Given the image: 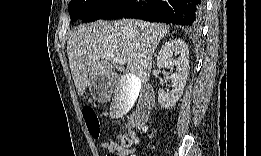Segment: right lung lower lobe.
Returning a JSON list of instances; mask_svg holds the SVG:
<instances>
[{"instance_id": "right-lung-lower-lobe-1", "label": "right lung lower lobe", "mask_w": 261, "mask_h": 156, "mask_svg": "<svg viewBox=\"0 0 261 156\" xmlns=\"http://www.w3.org/2000/svg\"><path fill=\"white\" fill-rule=\"evenodd\" d=\"M201 0H118L102 19L137 18L197 27L202 12Z\"/></svg>"}]
</instances>
